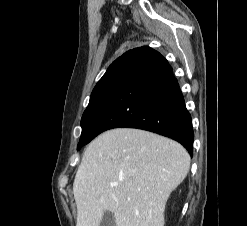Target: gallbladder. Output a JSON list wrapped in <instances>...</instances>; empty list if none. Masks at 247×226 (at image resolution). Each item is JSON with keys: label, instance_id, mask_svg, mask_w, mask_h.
<instances>
[{"label": "gallbladder", "instance_id": "gallbladder-1", "mask_svg": "<svg viewBox=\"0 0 247 226\" xmlns=\"http://www.w3.org/2000/svg\"><path fill=\"white\" fill-rule=\"evenodd\" d=\"M99 226H116L115 216L112 212H105Z\"/></svg>", "mask_w": 247, "mask_h": 226}]
</instances>
